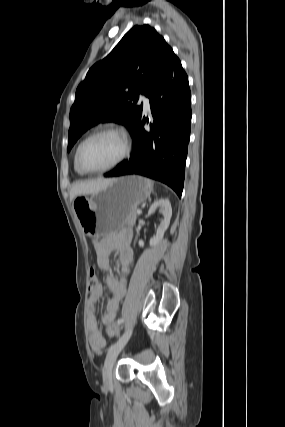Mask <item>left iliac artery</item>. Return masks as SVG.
Here are the masks:
<instances>
[{"instance_id": "left-iliac-artery-1", "label": "left iliac artery", "mask_w": 285, "mask_h": 427, "mask_svg": "<svg viewBox=\"0 0 285 427\" xmlns=\"http://www.w3.org/2000/svg\"><path fill=\"white\" fill-rule=\"evenodd\" d=\"M124 322V319H119L118 324H122Z\"/></svg>"}]
</instances>
